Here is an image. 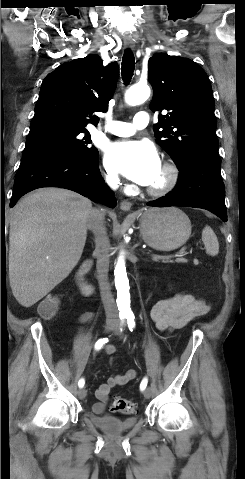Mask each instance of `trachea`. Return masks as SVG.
Returning a JSON list of instances; mask_svg holds the SVG:
<instances>
[{"instance_id": "trachea-1", "label": "trachea", "mask_w": 245, "mask_h": 479, "mask_svg": "<svg viewBox=\"0 0 245 479\" xmlns=\"http://www.w3.org/2000/svg\"><path fill=\"white\" fill-rule=\"evenodd\" d=\"M134 67H135L134 55L130 50H126L123 55L122 67H121L122 78L126 85L130 82L133 76Z\"/></svg>"}]
</instances>
